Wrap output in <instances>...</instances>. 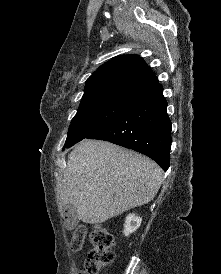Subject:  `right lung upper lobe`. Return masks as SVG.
I'll return each instance as SVG.
<instances>
[{
    "instance_id": "cb5924a9",
    "label": "right lung upper lobe",
    "mask_w": 221,
    "mask_h": 274,
    "mask_svg": "<svg viewBox=\"0 0 221 274\" xmlns=\"http://www.w3.org/2000/svg\"><path fill=\"white\" fill-rule=\"evenodd\" d=\"M159 84L137 55H122L100 66L86 81L82 99L116 97L135 100Z\"/></svg>"
}]
</instances>
